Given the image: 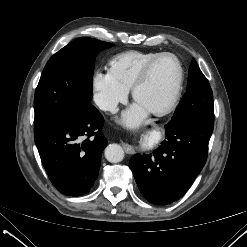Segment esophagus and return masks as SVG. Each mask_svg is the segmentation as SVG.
Returning a JSON list of instances; mask_svg holds the SVG:
<instances>
[{"mask_svg": "<svg viewBox=\"0 0 247 247\" xmlns=\"http://www.w3.org/2000/svg\"><path fill=\"white\" fill-rule=\"evenodd\" d=\"M125 152L128 154H131L133 152V149L129 145H124Z\"/></svg>", "mask_w": 247, "mask_h": 247, "instance_id": "34e87169", "label": "esophagus"}]
</instances>
